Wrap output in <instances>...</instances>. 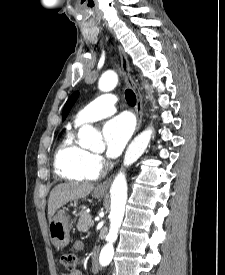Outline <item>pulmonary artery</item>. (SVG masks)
I'll use <instances>...</instances> for the list:
<instances>
[{
  "mask_svg": "<svg viewBox=\"0 0 225 275\" xmlns=\"http://www.w3.org/2000/svg\"><path fill=\"white\" fill-rule=\"evenodd\" d=\"M116 104L117 97L114 94L105 93L80 110L75 117V123L82 125L109 116L116 111Z\"/></svg>",
  "mask_w": 225,
  "mask_h": 275,
  "instance_id": "1",
  "label": "pulmonary artery"
}]
</instances>
